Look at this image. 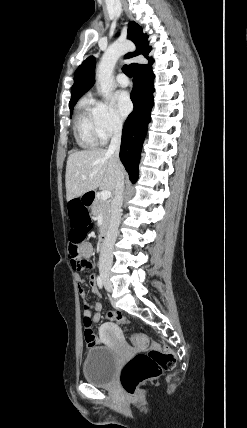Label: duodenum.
Here are the masks:
<instances>
[{"instance_id": "obj_1", "label": "duodenum", "mask_w": 247, "mask_h": 428, "mask_svg": "<svg viewBox=\"0 0 247 428\" xmlns=\"http://www.w3.org/2000/svg\"><path fill=\"white\" fill-rule=\"evenodd\" d=\"M93 199H94V194L92 192H88L85 195L86 204H91ZM107 237H108V231H107V229H105L101 233L100 238H99V242H98V248L100 251L104 250V248L106 246V242H107Z\"/></svg>"}]
</instances>
